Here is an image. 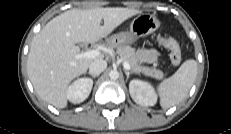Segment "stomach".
<instances>
[{
    "instance_id": "0dacf381",
    "label": "stomach",
    "mask_w": 231,
    "mask_h": 134,
    "mask_svg": "<svg viewBox=\"0 0 231 134\" xmlns=\"http://www.w3.org/2000/svg\"><path fill=\"white\" fill-rule=\"evenodd\" d=\"M160 26L161 22L155 15L140 14L132 20L129 32H121L109 37L108 43L113 47L130 45L137 39L153 33Z\"/></svg>"
}]
</instances>
